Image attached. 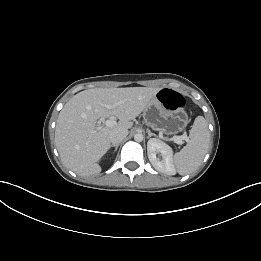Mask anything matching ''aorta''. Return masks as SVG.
Masks as SVG:
<instances>
[{"label": "aorta", "instance_id": "aorta-1", "mask_svg": "<svg viewBox=\"0 0 261 261\" xmlns=\"http://www.w3.org/2000/svg\"><path fill=\"white\" fill-rule=\"evenodd\" d=\"M134 140L137 141V142H141L143 140V134L141 133H136L134 135Z\"/></svg>", "mask_w": 261, "mask_h": 261}]
</instances>
